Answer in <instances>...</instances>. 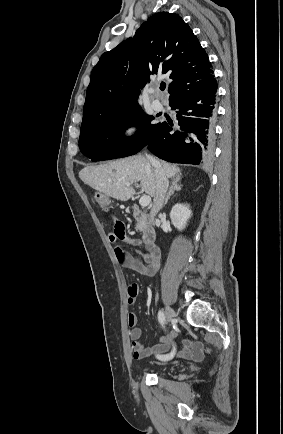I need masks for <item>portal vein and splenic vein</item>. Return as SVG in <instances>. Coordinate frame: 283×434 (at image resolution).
I'll return each mask as SVG.
<instances>
[{"label":"portal vein and splenic vein","mask_w":283,"mask_h":434,"mask_svg":"<svg viewBox=\"0 0 283 434\" xmlns=\"http://www.w3.org/2000/svg\"><path fill=\"white\" fill-rule=\"evenodd\" d=\"M127 186H130V184L128 183ZM150 202H151V197L147 195L142 196L139 200V204L142 207H147L150 204Z\"/></svg>","instance_id":"18ae733b"}]
</instances>
